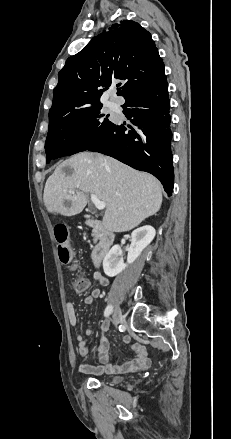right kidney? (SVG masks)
Segmentation results:
<instances>
[{"label": "right kidney", "mask_w": 231, "mask_h": 439, "mask_svg": "<svg viewBox=\"0 0 231 439\" xmlns=\"http://www.w3.org/2000/svg\"><path fill=\"white\" fill-rule=\"evenodd\" d=\"M155 234V229L150 225L142 226L132 232L127 263L123 261L119 246H113L103 260L104 273L109 277L121 273L128 264L133 263L139 257L141 252L152 242Z\"/></svg>", "instance_id": "obj_1"}]
</instances>
